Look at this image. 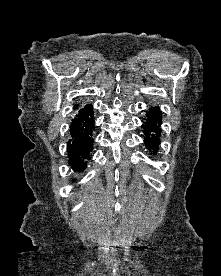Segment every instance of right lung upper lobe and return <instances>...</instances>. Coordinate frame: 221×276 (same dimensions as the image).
<instances>
[{
	"mask_svg": "<svg viewBox=\"0 0 221 276\" xmlns=\"http://www.w3.org/2000/svg\"><path fill=\"white\" fill-rule=\"evenodd\" d=\"M82 107H83V106H79L78 104H76V105L74 106V109L78 111V110L81 109Z\"/></svg>",
	"mask_w": 221,
	"mask_h": 276,
	"instance_id": "right-lung-upper-lobe-1",
	"label": "right lung upper lobe"
}]
</instances>
